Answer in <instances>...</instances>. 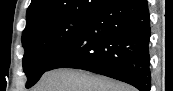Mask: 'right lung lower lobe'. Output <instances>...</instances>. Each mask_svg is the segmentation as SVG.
<instances>
[{
  "instance_id": "98d812e1",
  "label": "right lung lower lobe",
  "mask_w": 173,
  "mask_h": 91,
  "mask_svg": "<svg viewBox=\"0 0 173 91\" xmlns=\"http://www.w3.org/2000/svg\"><path fill=\"white\" fill-rule=\"evenodd\" d=\"M149 40L146 0H108L47 71L83 69L150 91Z\"/></svg>"
}]
</instances>
